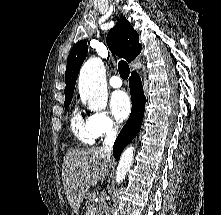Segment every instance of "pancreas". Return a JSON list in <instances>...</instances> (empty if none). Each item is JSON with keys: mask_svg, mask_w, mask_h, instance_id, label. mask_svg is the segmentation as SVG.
I'll return each instance as SVG.
<instances>
[{"mask_svg": "<svg viewBox=\"0 0 221 215\" xmlns=\"http://www.w3.org/2000/svg\"><path fill=\"white\" fill-rule=\"evenodd\" d=\"M93 202H94V196L92 194H89L86 198V202H85V206L87 208V210L93 206ZM87 215V214H86ZM93 215H99L97 210L94 212Z\"/></svg>", "mask_w": 221, "mask_h": 215, "instance_id": "obj_1", "label": "pancreas"}]
</instances>
